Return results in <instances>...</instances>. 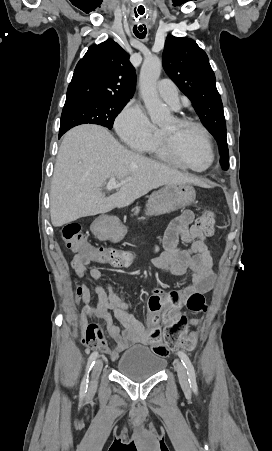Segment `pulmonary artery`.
I'll list each match as a JSON object with an SVG mask.
<instances>
[{
  "label": "pulmonary artery",
  "mask_w": 272,
  "mask_h": 451,
  "mask_svg": "<svg viewBox=\"0 0 272 451\" xmlns=\"http://www.w3.org/2000/svg\"><path fill=\"white\" fill-rule=\"evenodd\" d=\"M158 93L160 97L173 105L174 107H178L179 105V91L174 82L162 79L159 81L157 85Z\"/></svg>",
  "instance_id": "pulmonary-artery-1"
}]
</instances>
